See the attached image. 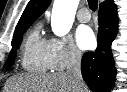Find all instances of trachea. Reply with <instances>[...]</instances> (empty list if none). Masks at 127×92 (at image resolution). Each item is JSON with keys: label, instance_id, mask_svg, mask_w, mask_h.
<instances>
[{"label": "trachea", "instance_id": "1", "mask_svg": "<svg viewBox=\"0 0 127 92\" xmlns=\"http://www.w3.org/2000/svg\"><path fill=\"white\" fill-rule=\"evenodd\" d=\"M88 5L92 11H96L98 7V0H88Z\"/></svg>", "mask_w": 127, "mask_h": 92}]
</instances>
